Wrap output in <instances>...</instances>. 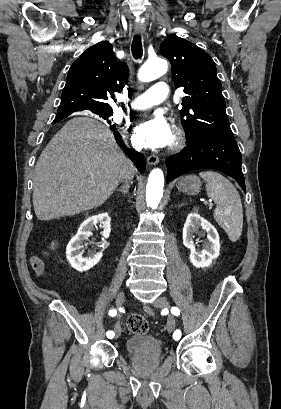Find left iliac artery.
I'll list each match as a JSON object with an SVG mask.
<instances>
[{
	"mask_svg": "<svg viewBox=\"0 0 281 409\" xmlns=\"http://www.w3.org/2000/svg\"><path fill=\"white\" fill-rule=\"evenodd\" d=\"M171 312H172V314H174V315H176V316H178V315L180 314V310H179L177 307H172V308H171ZM180 337H181V331H180V330H176V331L174 332V334H173V338H174L175 340H179Z\"/></svg>",
	"mask_w": 281,
	"mask_h": 409,
	"instance_id": "1",
	"label": "left iliac artery"
}]
</instances>
